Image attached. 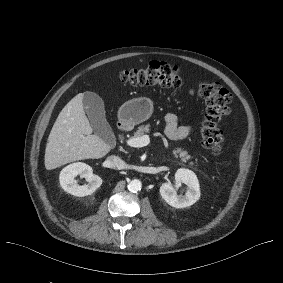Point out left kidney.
I'll return each mask as SVG.
<instances>
[{
	"label": "left kidney",
	"mask_w": 283,
	"mask_h": 283,
	"mask_svg": "<svg viewBox=\"0 0 283 283\" xmlns=\"http://www.w3.org/2000/svg\"><path fill=\"white\" fill-rule=\"evenodd\" d=\"M175 184L167 182L161 185L160 194L162 198L172 207L185 208L193 205L200 198L199 182L196 174L185 168L178 169L175 173ZM184 183L187 191L184 196L176 194V188Z\"/></svg>",
	"instance_id": "left-kidney-1"
}]
</instances>
